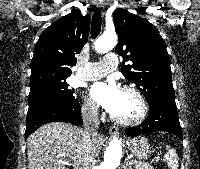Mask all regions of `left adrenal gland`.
Returning <instances> with one entry per match:
<instances>
[{
    "mask_svg": "<svg viewBox=\"0 0 200 169\" xmlns=\"http://www.w3.org/2000/svg\"><path fill=\"white\" fill-rule=\"evenodd\" d=\"M122 169H132L131 167V163H129V160L126 158L123 165H122Z\"/></svg>",
    "mask_w": 200,
    "mask_h": 169,
    "instance_id": "1",
    "label": "left adrenal gland"
}]
</instances>
